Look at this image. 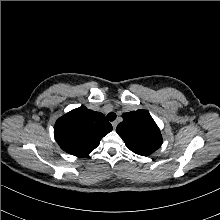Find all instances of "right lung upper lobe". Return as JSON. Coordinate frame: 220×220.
Returning <instances> with one entry per match:
<instances>
[{"mask_svg": "<svg viewBox=\"0 0 220 220\" xmlns=\"http://www.w3.org/2000/svg\"><path fill=\"white\" fill-rule=\"evenodd\" d=\"M110 131L112 125L102 113L81 106L56 121L54 136L65 152L82 157L98 147L102 137Z\"/></svg>", "mask_w": 220, "mask_h": 220, "instance_id": "right-lung-upper-lobe-1", "label": "right lung upper lobe"}]
</instances>
